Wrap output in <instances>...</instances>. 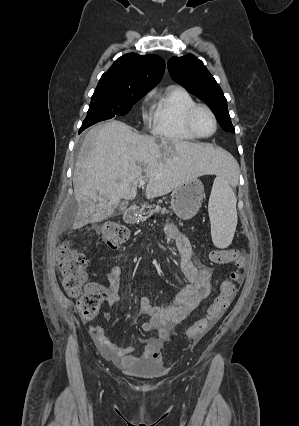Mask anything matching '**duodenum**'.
Returning <instances> with one entry per match:
<instances>
[{
	"label": "duodenum",
	"instance_id": "1",
	"mask_svg": "<svg viewBox=\"0 0 299 426\" xmlns=\"http://www.w3.org/2000/svg\"><path fill=\"white\" fill-rule=\"evenodd\" d=\"M138 216V208L131 207L125 212V220L127 222H134Z\"/></svg>",
	"mask_w": 299,
	"mask_h": 426
}]
</instances>
